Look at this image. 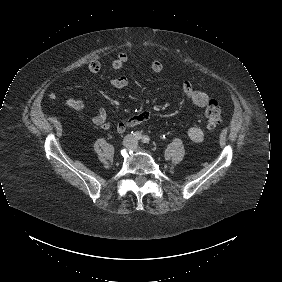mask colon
I'll return each mask as SVG.
<instances>
[{"label": "colon", "instance_id": "1", "mask_svg": "<svg viewBox=\"0 0 282 282\" xmlns=\"http://www.w3.org/2000/svg\"><path fill=\"white\" fill-rule=\"evenodd\" d=\"M204 112L207 120V126L210 129H214L220 125L222 121V108L216 100H209Z\"/></svg>", "mask_w": 282, "mask_h": 282}]
</instances>
